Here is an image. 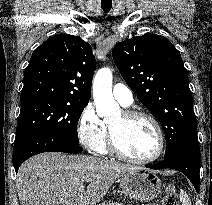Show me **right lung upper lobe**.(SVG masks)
<instances>
[{
	"label": "right lung upper lobe",
	"mask_w": 212,
	"mask_h": 205,
	"mask_svg": "<svg viewBox=\"0 0 212 205\" xmlns=\"http://www.w3.org/2000/svg\"><path fill=\"white\" fill-rule=\"evenodd\" d=\"M95 68L92 48L80 37L69 34L50 37L32 54L20 99L88 104Z\"/></svg>",
	"instance_id": "right-lung-upper-lobe-1"
}]
</instances>
